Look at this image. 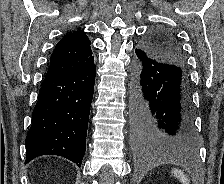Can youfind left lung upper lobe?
<instances>
[{
	"label": "left lung upper lobe",
	"instance_id": "obj_1",
	"mask_svg": "<svg viewBox=\"0 0 224 184\" xmlns=\"http://www.w3.org/2000/svg\"><path fill=\"white\" fill-rule=\"evenodd\" d=\"M147 55L155 60L167 64L185 67V60L181 47L175 38L168 32L157 31L151 33L140 45Z\"/></svg>",
	"mask_w": 224,
	"mask_h": 184
}]
</instances>
